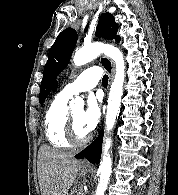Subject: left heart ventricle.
Masks as SVG:
<instances>
[{"label": "left heart ventricle", "mask_w": 178, "mask_h": 195, "mask_svg": "<svg viewBox=\"0 0 178 195\" xmlns=\"http://www.w3.org/2000/svg\"><path fill=\"white\" fill-rule=\"evenodd\" d=\"M83 114L84 113L82 110L76 111L72 114L74 126H75V133L79 139H83L87 136V133L82 126Z\"/></svg>", "instance_id": "left-heart-ventricle-1"}]
</instances>
